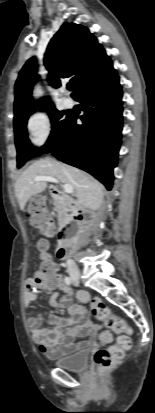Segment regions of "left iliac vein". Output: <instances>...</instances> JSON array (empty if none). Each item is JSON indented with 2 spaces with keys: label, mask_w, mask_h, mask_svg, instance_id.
<instances>
[{
  "label": "left iliac vein",
  "mask_w": 155,
  "mask_h": 413,
  "mask_svg": "<svg viewBox=\"0 0 155 413\" xmlns=\"http://www.w3.org/2000/svg\"><path fill=\"white\" fill-rule=\"evenodd\" d=\"M73 284H74V286H78L79 282H78V281H74Z\"/></svg>",
  "instance_id": "obj_1"
}]
</instances>
